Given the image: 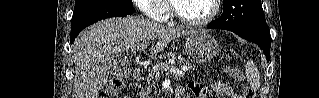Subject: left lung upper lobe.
Instances as JSON below:
<instances>
[{
	"mask_svg": "<svg viewBox=\"0 0 319 98\" xmlns=\"http://www.w3.org/2000/svg\"><path fill=\"white\" fill-rule=\"evenodd\" d=\"M223 14L210 24L219 29H268L261 0H224Z\"/></svg>",
	"mask_w": 319,
	"mask_h": 98,
	"instance_id": "1",
	"label": "left lung upper lobe"
}]
</instances>
